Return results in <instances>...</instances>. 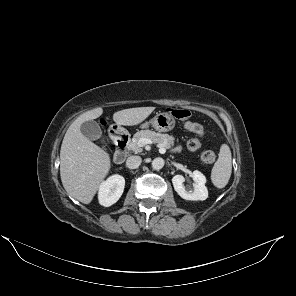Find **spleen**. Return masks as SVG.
<instances>
[{
	"label": "spleen",
	"instance_id": "1",
	"mask_svg": "<svg viewBox=\"0 0 296 296\" xmlns=\"http://www.w3.org/2000/svg\"><path fill=\"white\" fill-rule=\"evenodd\" d=\"M232 173V155L227 144H222L219 151V157L211 171V181L219 189L224 188L230 179Z\"/></svg>",
	"mask_w": 296,
	"mask_h": 296
}]
</instances>
